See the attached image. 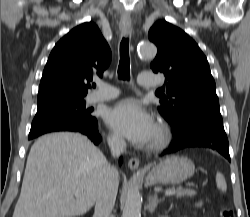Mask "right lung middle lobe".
Segmentation results:
<instances>
[{
    "label": "right lung middle lobe",
    "instance_id": "dd1d6c3e",
    "mask_svg": "<svg viewBox=\"0 0 250 217\" xmlns=\"http://www.w3.org/2000/svg\"><path fill=\"white\" fill-rule=\"evenodd\" d=\"M92 111L90 108H85L83 99L38 108L28 139L53 131L88 130L97 123L96 118L91 116Z\"/></svg>",
    "mask_w": 250,
    "mask_h": 217
}]
</instances>
